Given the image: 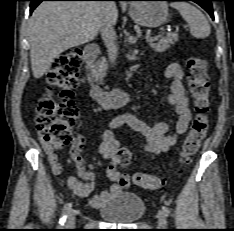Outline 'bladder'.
Segmentation results:
<instances>
[{"label": "bladder", "mask_w": 234, "mask_h": 231, "mask_svg": "<svg viewBox=\"0 0 234 231\" xmlns=\"http://www.w3.org/2000/svg\"><path fill=\"white\" fill-rule=\"evenodd\" d=\"M145 212V202L131 192L117 194L99 209L104 220L116 224H128L137 221L145 215Z\"/></svg>", "instance_id": "1"}]
</instances>
